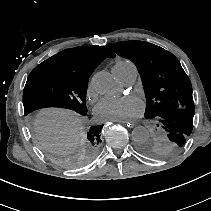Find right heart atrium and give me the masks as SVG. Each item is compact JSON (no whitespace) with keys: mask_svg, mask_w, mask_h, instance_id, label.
<instances>
[{"mask_svg":"<svg viewBox=\"0 0 211 211\" xmlns=\"http://www.w3.org/2000/svg\"><path fill=\"white\" fill-rule=\"evenodd\" d=\"M94 93V86H93V83L92 82H89L88 86H87V89H86V94H87V97H91Z\"/></svg>","mask_w":211,"mask_h":211,"instance_id":"obj_1","label":"right heart atrium"}]
</instances>
